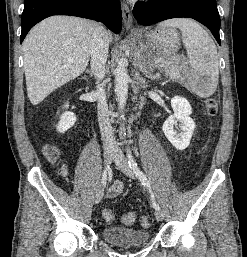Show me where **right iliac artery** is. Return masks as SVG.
<instances>
[{"label": "right iliac artery", "instance_id": "82829eb1", "mask_svg": "<svg viewBox=\"0 0 247 257\" xmlns=\"http://www.w3.org/2000/svg\"><path fill=\"white\" fill-rule=\"evenodd\" d=\"M107 171H109V165H107V168L104 170V173H103V176H102V185H103V187L106 186Z\"/></svg>", "mask_w": 247, "mask_h": 257}]
</instances>
